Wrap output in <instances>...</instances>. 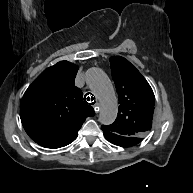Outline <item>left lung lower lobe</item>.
Segmentation results:
<instances>
[{"label":"left lung lower lobe","instance_id":"left-lung-lower-lobe-1","mask_svg":"<svg viewBox=\"0 0 193 193\" xmlns=\"http://www.w3.org/2000/svg\"><path fill=\"white\" fill-rule=\"evenodd\" d=\"M103 132L108 141L118 146L130 147L139 143V142H133L126 137L119 136L115 133H112L106 130H103Z\"/></svg>","mask_w":193,"mask_h":193}]
</instances>
